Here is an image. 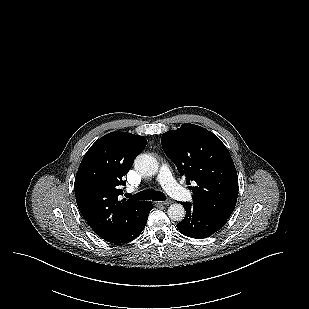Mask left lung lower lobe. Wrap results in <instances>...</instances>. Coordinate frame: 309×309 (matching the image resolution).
<instances>
[{
    "label": "left lung lower lobe",
    "mask_w": 309,
    "mask_h": 309,
    "mask_svg": "<svg viewBox=\"0 0 309 309\" xmlns=\"http://www.w3.org/2000/svg\"><path fill=\"white\" fill-rule=\"evenodd\" d=\"M185 218L177 224L179 231L187 237L203 239L220 230L228 218L201 203L184 202Z\"/></svg>",
    "instance_id": "obj_1"
}]
</instances>
